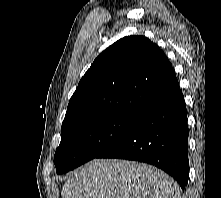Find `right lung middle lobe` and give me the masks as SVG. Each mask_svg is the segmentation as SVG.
<instances>
[{
    "label": "right lung middle lobe",
    "instance_id": "obj_1",
    "mask_svg": "<svg viewBox=\"0 0 221 198\" xmlns=\"http://www.w3.org/2000/svg\"><path fill=\"white\" fill-rule=\"evenodd\" d=\"M140 117L115 114L92 121L78 129L62 134L54 155L58 174L66 173L98 157L126 136Z\"/></svg>",
    "mask_w": 221,
    "mask_h": 198
}]
</instances>
